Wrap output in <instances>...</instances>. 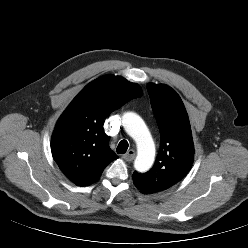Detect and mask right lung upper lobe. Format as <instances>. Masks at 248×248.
I'll return each mask as SVG.
<instances>
[{
    "mask_svg": "<svg viewBox=\"0 0 248 248\" xmlns=\"http://www.w3.org/2000/svg\"><path fill=\"white\" fill-rule=\"evenodd\" d=\"M140 96L137 84L114 75L93 80L77 94L58 119L51 140L53 158L69 180L78 186L91 185L118 158L109 148L103 120Z\"/></svg>",
    "mask_w": 248,
    "mask_h": 248,
    "instance_id": "obj_1",
    "label": "right lung upper lobe"
}]
</instances>
